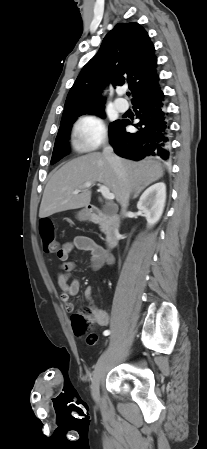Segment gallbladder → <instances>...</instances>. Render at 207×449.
I'll list each match as a JSON object with an SVG mask.
<instances>
[{
    "mask_svg": "<svg viewBox=\"0 0 207 449\" xmlns=\"http://www.w3.org/2000/svg\"><path fill=\"white\" fill-rule=\"evenodd\" d=\"M105 212H106V213H109V210H108V209H105Z\"/></svg>",
    "mask_w": 207,
    "mask_h": 449,
    "instance_id": "obj_1",
    "label": "gallbladder"
}]
</instances>
